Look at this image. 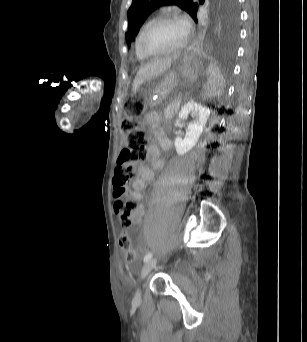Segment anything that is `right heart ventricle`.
Returning <instances> with one entry per match:
<instances>
[{
	"label": "right heart ventricle",
	"mask_w": 307,
	"mask_h": 342,
	"mask_svg": "<svg viewBox=\"0 0 307 342\" xmlns=\"http://www.w3.org/2000/svg\"><path fill=\"white\" fill-rule=\"evenodd\" d=\"M153 18V15L152 13H147L143 19L141 20L139 26H138V29H137V33H136V39H135V54H136V57L141 60V61H146L147 58H145L143 55L140 54L139 52V49H138V40H139V36L145 26V24Z\"/></svg>",
	"instance_id": "e07e8e85"
}]
</instances>
